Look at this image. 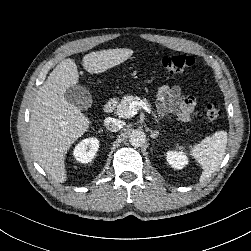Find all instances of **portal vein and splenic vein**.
<instances>
[{"label": "portal vein and splenic vein", "mask_w": 251, "mask_h": 251, "mask_svg": "<svg viewBox=\"0 0 251 251\" xmlns=\"http://www.w3.org/2000/svg\"><path fill=\"white\" fill-rule=\"evenodd\" d=\"M139 108L144 109L146 112L150 113L151 109L150 106L146 103L141 101H134L132 103L129 104V109L127 112L124 113V116L121 117H133L134 115H136L138 113Z\"/></svg>", "instance_id": "portal-vein-and-splenic-vein-1"}]
</instances>
